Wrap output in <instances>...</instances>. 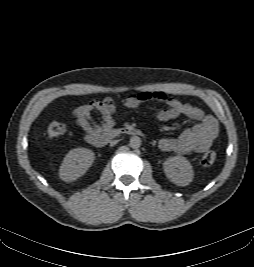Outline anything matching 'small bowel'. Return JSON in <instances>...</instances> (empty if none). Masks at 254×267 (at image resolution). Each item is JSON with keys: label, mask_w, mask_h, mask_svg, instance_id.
<instances>
[{"label": "small bowel", "mask_w": 254, "mask_h": 267, "mask_svg": "<svg viewBox=\"0 0 254 267\" xmlns=\"http://www.w3.org/2000/svg\"><path fill=\"white\" fill-rule=\"evenodd\" d=\"M149 100L160 101L166 106L157 113L160 121H169L179 116L198 121L196 125L184 130L176 138L161 139L159 147L162 151L177 154L202 153L211 146L218 134V123L213 116L206 114L198 107L158 91H142L129 95L122 100V104L124 107L132 109ZM116 111L117 104L112 98L107 97L78 106L74 110V116L79 127L91 135L111 130L115 125L114 114ZM93 113L101 116L100 123L93 121Z\"/></svg>", "instance_id": "obj_1"}]
</instances>
